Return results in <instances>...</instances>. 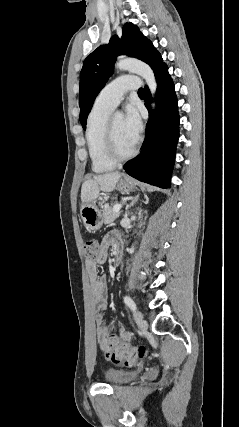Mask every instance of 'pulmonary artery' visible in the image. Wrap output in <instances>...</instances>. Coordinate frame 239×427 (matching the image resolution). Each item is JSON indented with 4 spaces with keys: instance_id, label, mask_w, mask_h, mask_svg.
Here are the masks:
<instances>
[{
    "instance_id": "obj_1",
    "label": "pulmonary artery",
    "mask_w": 239,
    "mask_h": 427,
    "mask_svg": "<svg viewBox=\"0 0 239 427\" xmlns=\"http://www.w3.org/2000/svg\"><path fill=\"white\" fill-rule=\"evenodd\" d=\"M140 81L137 76L124 75L116 78L98 94L94 105L113 110L128 91L138 90Z\"/></svg>"
}]
</instances>
